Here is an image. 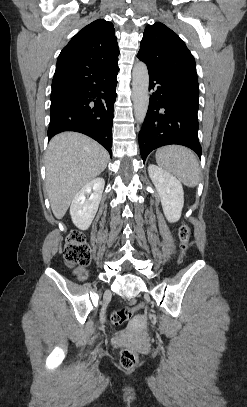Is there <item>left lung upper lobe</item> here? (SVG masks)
I'll use <instances>...</instances> for the list:
<instances>
[{"label": "left lung upper lobe", "mask_w": 247, "mask_h": 407, "mask_svg": "<svg viewBox=\"0 0 247 407\" xmlns=\"http://www.w3.org/2000/svg\"><path fill=\"white\" fill-rule=\"evenodd\" d=\"M149 69L198 81L193 55L166 25H147L138 52Z\"/></svg>", "instance_id": "left-lung-upper-lobe-1"}]
</instances>
